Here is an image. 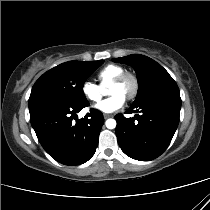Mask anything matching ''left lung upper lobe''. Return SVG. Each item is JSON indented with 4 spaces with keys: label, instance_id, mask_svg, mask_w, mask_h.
Returning a JSON list of instances; mask_svg holds the SVG:
<instances>
[{
    "label": "left lung upper lobe",
    "instance_id": "obj_1",
    "mask_svg": "<svg viewBox=\"0 0 210 210\" xmlns=\"http://www.w3.org/2000/svg\"><path fill=\"white\" fill-rule=\"evenodd\" d=\"M112 61L130 65L137 73L139 89L132 105L156 95L179 94V88L169 73L147 56L132 54Z\"/></svg>",
    "mask_w": 210,
    "mask_h": 210
}]
</instances>
